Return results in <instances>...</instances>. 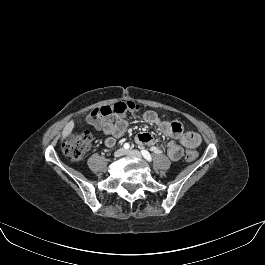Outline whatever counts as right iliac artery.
I'll return each mask as SVG.
<instances>
[{"label": "right iliac artery", "mask_w": 265, "mask_h": 265, "mask_svg": "<svg viewBox=\"0 0 265 265\" xmlns=\"http://www.w3.org/2000/svg\"><path fill=\"white\" fill-rule=\"evenodd\" d=\"M123 147H124V149H126V150H127V149H129V148H130V145H129L128 143H125Z\"/></svg>", "instance_id": "1"}]
</instances>
